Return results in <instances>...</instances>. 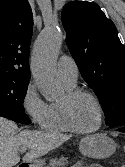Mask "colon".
Returning <instances> with one entry per match:
<instances>
[{
    "label": "colon",
    "instance_id": "1",
    "mask_svg": "<svg viewBox=\"0 0 125 167\" xmlns=\"http://www.w3.org/2000/svg\"><path fill=\"white\" fill-rule=\"evenodd\" d=\"M124 152H125V146H124ZM120 167H125V164H124V165H121Z\"/></svg>",
    "mask_w": 125,
    "mask_h": 167
}]
</instances>
